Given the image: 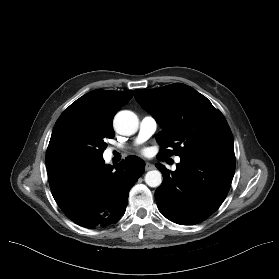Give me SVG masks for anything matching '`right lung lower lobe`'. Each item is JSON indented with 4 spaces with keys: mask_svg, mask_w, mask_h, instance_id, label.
Wrapping results in <instances>:
<instances>
[{
    "mask_svg": "<svg viewBox=\"0 0 279 279\" xmlns=\"http://www.w3.org/2000/svg\"><path fill=\"white\" fill-rule=\"evenodd\" d=\"M144 166L140 158L128 156L115 167L98 158L54 166L47 172L52 195L64 214L80 226L95 228L121 218Z\"/></svg>",
    "mask_w": 279,
    "mask_h": 279,
    "instance_id": "obj_1",
    "label": "right lung lower lobe"
}]
</instances>
